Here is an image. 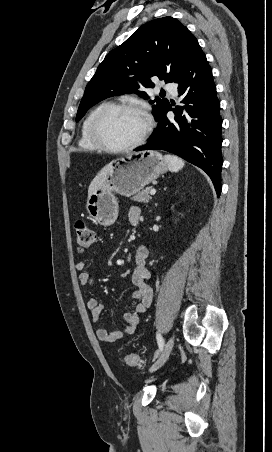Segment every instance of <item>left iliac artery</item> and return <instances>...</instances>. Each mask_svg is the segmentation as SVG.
<instances>
[{"label": "left iliac artery", "mask_w": 272, "mask_h": 452, "mask_svg": "<svg viewBox=\"0 0 272 452\" xmlns=\"http://www.w3.org/2000/svg\"><path fill=\"white\" fill-rule=\"evenodd\" d=\"M156 338H157V342L159 345V350L162 351V349L164 347V340H163L161 334H159V333H157Z\"/></svg>", "instance_id": "44dca946"}]
</instances>
